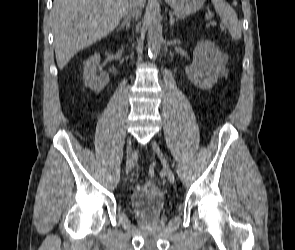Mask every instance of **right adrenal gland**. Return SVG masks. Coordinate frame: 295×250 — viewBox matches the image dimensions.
Instances as JSON below:
<instances>
[{
    "label": "right adrenal gland",
    "mask_w": 295,
    "mask_h": 250,
    "mask_svg": "<svg viewBox=\"0 0 295 250\" xmlns=\"http://www.w3.org/2000/svg\"><path fill=\"white\" fill-rule=\"evenodd\" d=\"M130 26L129 20L125 19L124 22L120 25L119 29H123L124 27H126V29H128Z\"/></svg>",
    "instance_id": "1"
}]
</instances>
